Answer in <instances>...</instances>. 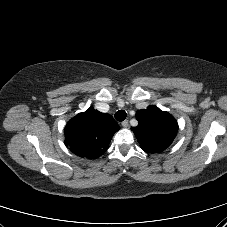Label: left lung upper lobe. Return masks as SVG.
I'll list each match as a JSON object with an SVG mask.
<instances>
[{"label":"left lung upper lobe","instance_id":"left-lung-upper-lobe-1","mask_svg":"<svg viewBox=\"0 0 227 227\" xmlns=\"http://www.w3.org/2000/svg\"><path fill=\"white\" fill-rule=\"evenodd\" d=\"M139 124L132 127L141 148L147 153H160L173 142L178 124L168 112L161 111L156 106L136 112Z\"/></svg>","mask_w":227,"mask_h":227}]
</instances>
